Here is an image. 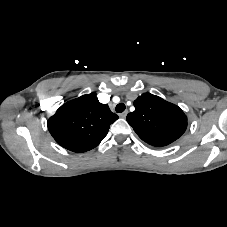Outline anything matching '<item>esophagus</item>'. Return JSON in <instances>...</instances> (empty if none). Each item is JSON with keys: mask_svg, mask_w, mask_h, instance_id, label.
<instances>
[{"mask_svg": "<svg viewBox=\"0 0 227 227\" xmlns=\"http://www.w3.org/2000/svg\"><path fill=\"white\" fill-rule=\"evenodd\" d=\"M127 114H128V111L125 110L124 112L120 113L119 116H120L121 118H126Z\"/></svg>", "mask_w": 227, "mask_h": 227, "instance_id": "1", "label": "esophagus"}]
</instances>
